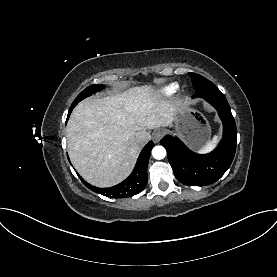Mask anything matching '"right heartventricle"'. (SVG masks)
I'll list each match as a JSON object with an SVG mask.
<instances>
[{
    "label": "right heart ventricle",
    "instance_id": "obj_1",
    "mask_svg": "<svg viewBox=\"0 0 277 277\" xmlns=\"http://www.w3.org/2000/svg\"><path fill=\"white\" fill-rule=\"evenodd\" d=\"M176 89H177V85H175V84H170V85L166 86V87L162 90V92H163L164 94H166V95H170V94L174 93V92L176 91Z\"/></svg>",
    "mask_w": 277,
    "mask_h": 277
}]
</instances>
